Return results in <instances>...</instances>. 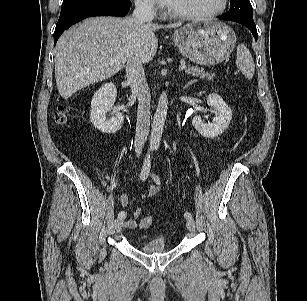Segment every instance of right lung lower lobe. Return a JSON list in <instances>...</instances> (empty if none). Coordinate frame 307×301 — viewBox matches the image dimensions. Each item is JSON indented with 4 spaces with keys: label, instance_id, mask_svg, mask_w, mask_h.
I'll list each match as a JSON object with an SVG mask.
<instances>
[{
    "label": "right lung lower lobe",
    "instance_id": "obj_1",
    "mask_svg": "<svg viewBox=\"0 0 307 301\" xmlns=\"http://www.w3.org/2000/svg\"><path fill=\"white\" fill-rule=\"evenodd\" d=\"M131 6L130 0H89L61 9L54 32V45L64 30L90 16H125Z\"/></svg>",
    "mask_w": 307,
    "mask_h": 301
}]
</instances>
